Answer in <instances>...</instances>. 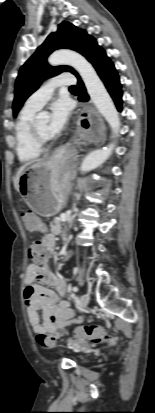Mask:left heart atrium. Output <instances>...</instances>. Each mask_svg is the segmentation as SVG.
Wrapping results in <instances>:
<instances>
[{
	"label": "left heart atrium",
	"mask_w": 155,
	"mask_h": 413,
	"mask_svg": "<svg viewBox=\"0 0 155 413\" xmlns=\"http://www.w3.org/2000/svg\"><path fill=\"white\" fill-rule=\"evenodd\" d=\"M50 120L47 126V134L52 138L59 134L66 126L70 116V104L64 99L55 101L50 108Z\"/></svg>",
	"instance_id": "obj_1"
}]
</instances>
